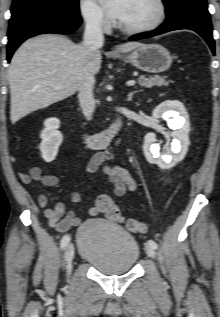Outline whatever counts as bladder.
Instances as JSON below:
<instances>
[{
  "label": "bladder",
  "mask_w": 220,
  "mask_h": 317,
  "mask_svg": "<svg viewBox=\"0 0 220 317\" xmlns=\"http://www.w3.org/2000/svg\"><path fill=\"white\" fill-rule=\"evenodd\" d=\"M78 256L107 275L130 272L140 257L137 240L110 220L92 218L76 232Z\"/></svg>",
  "instance_id": "1"
}]
</instances>
